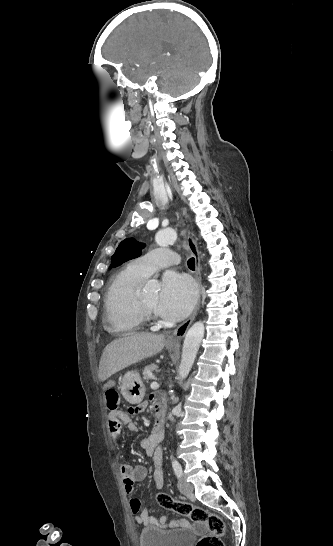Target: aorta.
<instances>
[{
	"label": "aorta",
	"mask_w": 333,
	"mask_h": 546,
	"mask_svg": "<svg viewBox=\"0 0 333 546\" xmlns=\"http://www.w3.org/2000/svg\"><path fill=\"white\" fill-rule=\"evenodd\" d=\"M178 238L177 232L173 229H164L156 234L155 241L159 246H168L174 243ZM204 324L202 322H196L193 324L186 333L183 348L181 362L178 370V380L185 379L196 358L199 350L200 343L204 337Z\"/></svg>",
	"instance_id": "aorta-1"
}]
</instances>
